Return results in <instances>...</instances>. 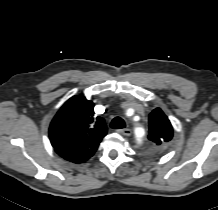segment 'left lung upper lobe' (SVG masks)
Listing matches in <instances>:
<instances>
[{
    "instance_id": "obj_1",
    "label": "left lung upper lobe",
    "mask_w": 218,
    "mask_h": 210,
    "mask_svg": "<svg viewBox=\"0 0 218 210\" xmlns=\"http://www.w3.org/2000/svg\"><path fill=\"white\" fill-rule=\"evenodd\" d=\"M173 128L160 108L154 109L149 115L148 138L154 145L164 144L172 139Z\"/></svg>"
}]
</instances>
